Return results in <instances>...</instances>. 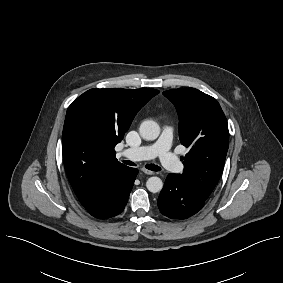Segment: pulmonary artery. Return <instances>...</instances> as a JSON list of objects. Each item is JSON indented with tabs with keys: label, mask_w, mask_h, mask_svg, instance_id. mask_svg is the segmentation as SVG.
I'll use <instances>...</instances> for the list:
<instances>
[{
	"label": "pulmonary artery",
	"mask_w": 283,
	"mask_h": 283,
	"mask_svg": "<svg viewBox=\"0 0 283 283\" xmlns=\"http://www.w3.org/2000/svg\"><path fill=\"white\" fill-rule=\"evenodd\" d=\"M173 131L172 126L166 125L163 127L160 137L155 142L137 148L126 149L121 154L133 160H149L159 157L164 168L174 173H181L184 166L170 150Z\"/></svg>",
	"instance_id": "pulmonary-artery-1"
}]
</instances>
